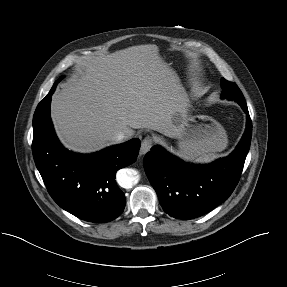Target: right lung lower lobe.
<instances>
[{"label":"right lung lower lobe","mask_w":287,"mask_h":287,"mask_svg":"<svg viewBox=\"0 0 287 287\" xmlns=\"http://www.w3.org/2000/svg\"><path fill=\"white\" fill-rule=\"evenodd\" d=\"M55 88L38 104L33 117L32 151L37 169L61 208L88 222L112 221L121 215L126 204L115 174L135 162L141 142L132 139L89 155L63 148L50 120Z\"/></svg>","instance_id":"1"}]
</instances>
